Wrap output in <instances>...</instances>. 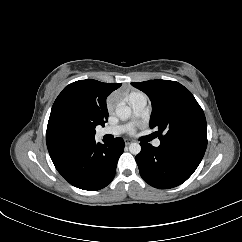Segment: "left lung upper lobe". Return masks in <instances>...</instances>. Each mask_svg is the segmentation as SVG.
<instances>
[{
	"label": "left lung upper lobe",
	"instance_id": "1",
	"mask_svg": "<svg viewBox=\"0 0 242 242\" xmlns=\"http://www.w3.org/2000/svg\"><path fill=\"white\" fill-rule=\"evenodd\" d=\"M131 84L150 98L152 113L149 126L158 129L156 133L162 144L206 150L205 115L189 90L180 83L169 80Z\"/></svg>",
	"mask_w": 242,
	"mask_h": 242
}]
</instances>
